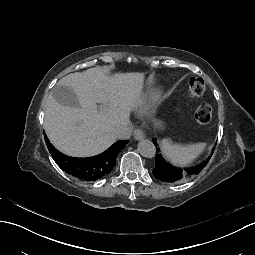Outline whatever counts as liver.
Here are the masks:
<instances>
[{"label":"liver","instance_id":"1","mask_svg":"<svg viewBox=\"0 0 255 255\" xmlns=\"http://www.w3.org/2000/svg\"><path fill=\"white\" fill-rule=\"evenodd\" d=\"M143 82L142 73H116L109 77L101 67L63 77L57 85L73 88L81 108L60 105L52 95L48 96L44 129L50 142L72 157L104 152L115 142L118 128L129 123ZM97 103L101 104L99 111Z\"/></svg>","mask_w":255,"mask_h":255}]
</instances>
